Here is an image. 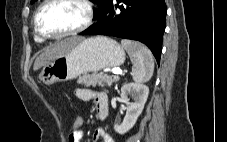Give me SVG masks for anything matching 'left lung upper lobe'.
<instances>
[{
  "label": "left lung upper lobe",
  "mask_w": 227,
  "mask_h": 142,
  "mask_svg": "<svg viewBox=\"0 0 227 142\" xmlns=\"http://www.w3.org/2000/svg\"><path fill=\"white\" fill-rule=\"evenodd\" d=\"M36 0H31V3H34ZM109 0H94L92 2L96 3L98 5V9L94 10V18H97L100 14V12L103 10V8L106 6Z\"/></svg>",
  "instance_id": "obj_1"
}]
</instances>
